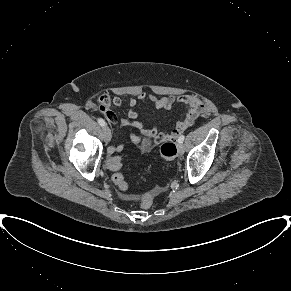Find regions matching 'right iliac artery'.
Returning a JSON list of instances; mask_svg holds the SVG:
<instances>
[{"instance_id":"right-iliac-artery-1","label":"right iliac artery","mask_w":291,"mask_h":291,"mask_svg":"<svg viewBox=\"0 0 291 291\" xmlns=\"http://www.w3.org/2000/svg\"><path fill=\"white\" fill-rule=\"evenodd\" d=\"M98 123L101 126H105L106 125L105 121L103 119H101V118L98 119Z\"/></svg>"}]
</instances>
